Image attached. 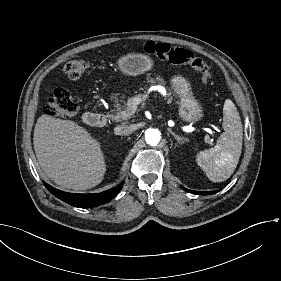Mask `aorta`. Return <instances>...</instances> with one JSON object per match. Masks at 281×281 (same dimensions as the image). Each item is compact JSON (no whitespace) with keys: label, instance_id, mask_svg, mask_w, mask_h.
Listing matches in <instances>:
<instances>
[{"label":"aorta","instance_id":"obj_1","mask_svg":"<svg viewBox=\"0 0 281 281\" xmlns=\"http://www.w3.org/2000/svg\"><path fill=\"white\" fill-rule=\"evenodd\" d=\"M145 139L147 144L151 146H156L161 139V134L159 130L149 128L145 131Z\"/></svg>","mask_w":281,"mask_h":281}]
</instances>
